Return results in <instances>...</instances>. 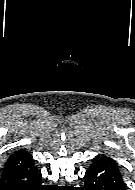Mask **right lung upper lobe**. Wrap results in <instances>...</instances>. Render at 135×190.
I'll use <instances>...</instances> for the list:
<instances>
[{
  "mask_svg": "<svg viewBox=\"0 0 135 190\" xmlns=\"http://www.w3.org/2000/svg\"><path fill=\"white\" fill-rule=\"evenodd\" d=\"M21 153H27V152L24 150H19V151L15 152L14 154H21Z\"/></svg>",
  "mask_w": 135,
  "mask_h": 190,
  "instance_id": "right-lung-upper-lobe-1",
  "label": "right lung upper lobe"
}]
</instances>
